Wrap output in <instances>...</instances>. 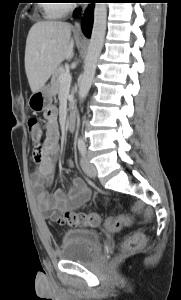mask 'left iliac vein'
Returning a JSON list of instances; mask_svg holds the SVG:
<instances>
[{"label": "left iliac vein", "mask_w": 181, "mask_h": 300, "mask_svg": "<svg viewBox=\"0 0 181 300\" xmlns=\"http://www.w3.org/2000/svg\"><path fill=\"white\" fill-rule=\"evenodd\" d=\"M80 164H81V167L84 171V173L90 177V178H95L96 175H97V169L95 167L94 164H92L88 158H86L85 156H83L80 160Z\"/></svg>", "instance_id": "1"}]
</instances>
